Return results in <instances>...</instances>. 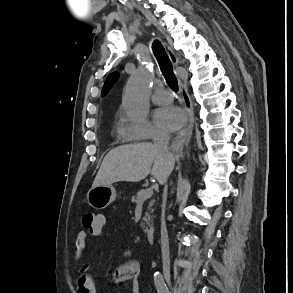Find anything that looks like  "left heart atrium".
<instances>
[{
    "instance_id": "1",
    "label": "left heart atrium",
    "mask_w": 293,
    "mask_h": 293,
    "mask_svg": "<svg viewBox=\"0 0 293 293\" xmlns=\"http://www.w3.org/2000/svg\"><path fill=\"white\" fill-rule=\"evenodd\" d=\"M156 124L165 131H174L184 122L183 111L176 106H164L154 112Z\"/></svg>"
}]
</instances>
